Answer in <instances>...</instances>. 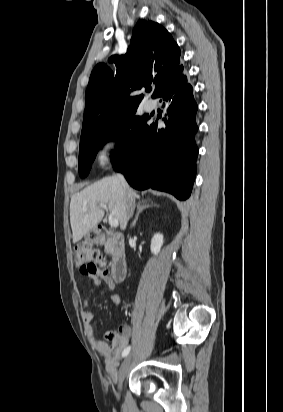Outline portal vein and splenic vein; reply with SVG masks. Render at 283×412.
Returning a JSON list of instances; mask_svg holds the SVG:
<instances>
[{"mask_svg":"<svg viewBox=\"0 0 283 412\" xmlns=\"http://www.w3.org/2000/svg\"><path fill=\"white\" fill-rule=\"evenodd\" d=\"M102 208L108 212V209H107L106 206H102ZM83 210H84V211H87L86 208H84ZM108 221H109V225H110L111 227H118V225H119L118 220H117V219H114V218H112V217H110Z\"/></svg>","mask_w":283,"mask_h":412,"instance_id":"1","label":"portal vein and splenic vein"}]
</instances>
